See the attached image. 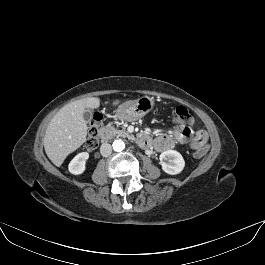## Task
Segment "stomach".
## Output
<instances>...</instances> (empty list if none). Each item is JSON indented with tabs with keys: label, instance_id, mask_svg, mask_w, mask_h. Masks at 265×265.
<instances>
[{
	"label": "stomach",
	"instance_id": "stomach-1",
	"mask_svg": "<svg viewBox=\"0 0 265 265\" xmlns=\"http://www.w3.org/2000/svg\"><path fill=\"white\" fill-rule=\"evenodd\" d=\"M155 105L154 98L143 96L137 100H129L118 106L115 115L126 121H136L149 113Z\"/></svg>",
	"mask_w": 265,
	"mask_h": 265
}]
</instances>
